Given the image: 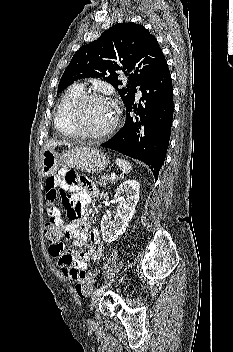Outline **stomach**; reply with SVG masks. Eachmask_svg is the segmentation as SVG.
I'll use <instances>...</instances> for the list:
<instances>
[{
    "label": "stomach",
    "mask_w": 233,
    "mask_h": 352,
    "mask_svg": "<svg viewBox=\"0 0 233 352\" xmlns=\"http://www.w3.org/2000/svg\"><path fill=\"white\" fill-rule=\"evenodd\" d=\"M108 164V156L94 147H76L62 154L50 147L42 152L41 174L42 176L52 175L60 166L98 173L103 171Z\"/></svg>",
    "instance_id": "obj_1"
}]
</instances>
